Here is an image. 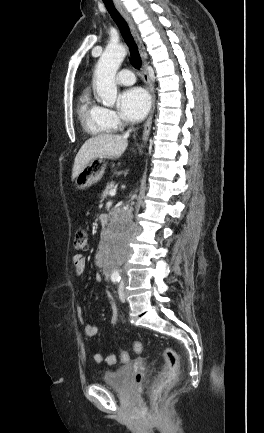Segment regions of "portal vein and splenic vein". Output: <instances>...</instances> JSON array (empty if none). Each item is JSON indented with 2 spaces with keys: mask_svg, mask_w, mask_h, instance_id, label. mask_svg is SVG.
Masks as SVG:
<instances>
[{
  "mask_svg": "<svg viewBox=\"0 0 264 433\" xmlns=\"http://www.w3.org/2000/svg\"><path fill=\"white\" fill-rule=\"evenodd\" d=\"M111 196H115L116 195V191L115 190H112V191H110V193H109Z\"/></svg>",
  "mask_w": 264,
  "mask_h": 433,
  "instance_id": "portal-vein-and-splenic-vein-1",
  "label": "portal vein and splenic vein"
}]
</instances>
